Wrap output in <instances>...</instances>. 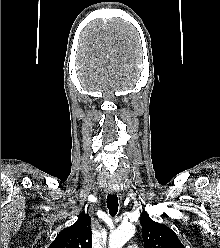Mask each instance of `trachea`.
I'll return each mask as SVG.
<instances>
[{"instance_id":"1","label":"trachea","mask_w":220,"mask_h":248,"mask_svg":"<svg viewBox=\"0 0 220 248\" xmlns=\"http://www.w3.org/2000/svg\"><path fill=\"white\" fill-rule=\"evenodd\" d=\"M107 208L112 217L118 212V197L116 194H108L107 196Z\"/></svg>"}]
</instances>
